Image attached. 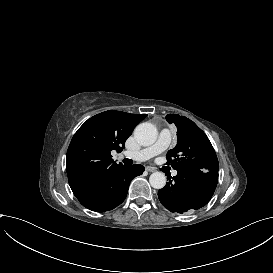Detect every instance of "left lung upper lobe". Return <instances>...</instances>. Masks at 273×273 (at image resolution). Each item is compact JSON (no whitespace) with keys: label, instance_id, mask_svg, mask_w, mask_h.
Returning <instances> with one entry per match:
<instances>
[{"label":"left lung upper lobe","instance_id":"left-lung-upper-lobe-1","mask_svg":"<svg viewBox=\"0 0 273 273\" xmlns=\"http://www.w3.org/2000/svg\"><path fill=\"white\" fill-rule=\"evenodd\" d=\"M177 127V145L167 153V164L176 170L218 172L219 163L206 134L190 119L178 114L166 115Z\"/></svg>","mask_w":273,"mask_h":273}]
</instances>
